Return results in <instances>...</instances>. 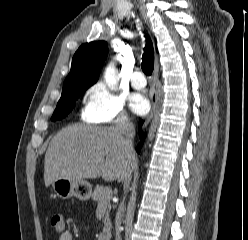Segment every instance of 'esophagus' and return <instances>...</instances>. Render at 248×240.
I'll return each instance as SVG.
<instances>
[{
  "instance_id": "34e87169",
  "label": "esophagus",
  "mask_w": 248,
  "mask_h": 240,
  "mask_svg": "<svg viewBox=\"0 0 248 240\" xmlns=\"http://www.w3.org/2000/svg\"><path fill=\"white\" fill-rule=\"evenodd\" d=\"M158 75H159V65H158V60L156 59L155 61V68H154V76H153V93L151 96V104H152V108L150 111V114L148 115V117L146 118L144 124H143V128H145L147 126V124L150 122V120L152 119L156 109H157V82H158Z\"/></svg>"
}]
</instances>
